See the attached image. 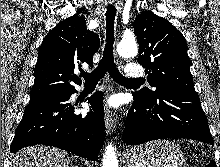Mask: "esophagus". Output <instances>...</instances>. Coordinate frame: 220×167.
<instances>
[{"mask_svg": "<svg viewBox=\"0 0 220 167\" xmlns=\"http://www.w3.org/2000/svg\"><path fill=\"white\" fill-rule=\"evenodd\" d=\"M104 119H105L106 133L107 135H110L115 128V116L107 104H105Z\"/></svg>", "mask_w": 220, "mask_h": 167, "instance_id": "esophagus-1", "label": "esophagus"}]
</instances>
